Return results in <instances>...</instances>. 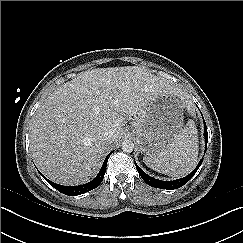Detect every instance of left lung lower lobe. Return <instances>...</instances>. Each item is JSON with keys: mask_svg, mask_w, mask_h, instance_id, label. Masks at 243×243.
I'll use <instances>...</instances> for the list:
<instances>
[{"mask_svg": "<svg viewBox=\"0 0 243 243\" xmlns=\"http://www.w3.org/2000/svg\"><path fill=\"white\" fill-rule=\"evenodd\" d=\"M204 119V118H203ZM204 136H205V143H206V147L207 148V141H208V133H207V127H206V123L204 121ZM206 152V151H205ZM203 162V158L201 159V161L199 162L198 166L192 171V173H190L189 175H187L186 177H183L181 179H177V180H173V181H161L155 178H152L150 176H148L145 172H143L138 165H136V168L140 174V176L142 177V179L150 186H153L155 188H161V189H168V190H173V189H177L182 187L185 183H187L193 176L194 174L197 172V170L199 169V167L201 166Z\"/></svg>", "mask_w": 243, "mask_h": 243, "instance_id": "obj_1", "label": "left lung lower lobe"}]
</instances>
